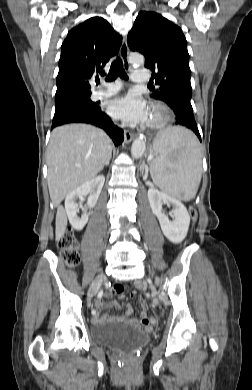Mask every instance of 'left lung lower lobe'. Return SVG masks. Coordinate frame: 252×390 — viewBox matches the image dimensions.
<instances>
[{"mask_svg":"<svg viewBox=\"0 0 252 390\" xmlns=\"http://www.w3.org/2000/svg\"><path fill=\"white\" fill-rule=\"evenodd\" d=\"M167 104L173 110L176 116L175 124L191 129L201 141L190 99L183 97H173Z\"/></svg>","mask_w":252,"mask_h":390,"instance_id":"left-lung-lower-lobe-1","label":"left lung lower lobe"}]
</instances>
